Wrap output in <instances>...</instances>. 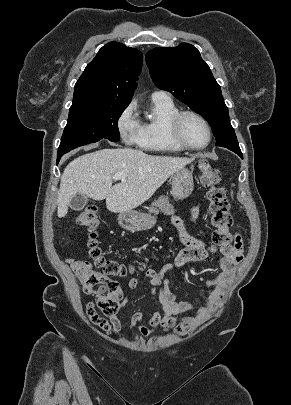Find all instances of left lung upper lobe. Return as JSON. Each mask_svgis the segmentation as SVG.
Wrapping results in <instances>:
<instances>
[{
    "label": "left lung upper lobe",
    "instance_id": "obj_1",
    "mask_svg": "<svg viewBox=\"0 0 291 405\" xmlns=\"http://www.w3.org/2000/svg\"><path fill=\"white\" fill-rule=\"evenodd\" d=\"M146 62L158 88L171 92L209 122L217 146L240 150L220 85L197 48L188 43L154 48L146 54Z\"/></svg>",
    "mask_w": 291,
    "mask_h": 405
}]
</instances>
